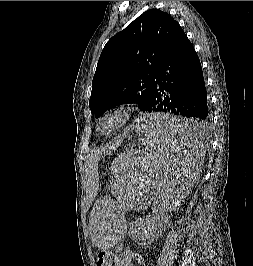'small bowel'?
I'll return each mask as SVG.
<instances>
[{"mask_svg": "<svg viewBox=\"0 0 253 266\" xmlns=\"http://www.w3.org/2000/svg\"><path fill=\"white\" fill-rule=\"evenodd\" d=\"M120 254L121 256L119 258L118 266H134V260L139 263V266H148L143 256L136 251L128 248H122L120 249Z\"/></svg>", "mask_w": 253, "mask_h": 266, "instance_id": "small-bowel-1", "label": "small bowel"}]
</instances>
